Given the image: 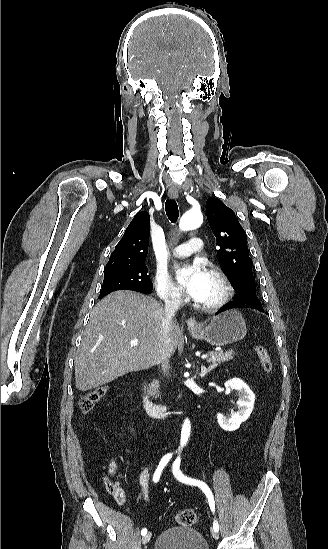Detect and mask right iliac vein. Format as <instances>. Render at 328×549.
I'll return each mask as SVG.
<instances>
[{
	"instance_id": "1",
	"label": "right iliac vein",
	"mask_w": 328,
	"mask_h": 549,
	"mask_svg": "<svg viewBox=\"0 0 328 549\" xmlns=\"http://www.w3.org/2000/svg\"><path fill=\"white\" fill-rule=\"evenodd\" d=\"M151 532L146 533L142 538V543L147 544L151 539Z\"/></svg>"
}]
</instances>
